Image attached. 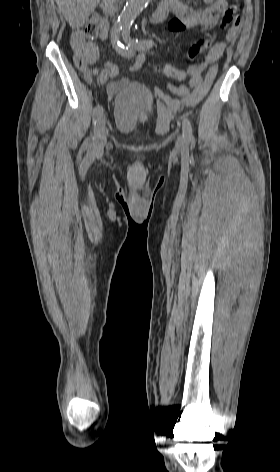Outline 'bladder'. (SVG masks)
Returning a JSON list of instances; mask_svg holds the SVG:
<instances>
[{
	"label": "bladder",
	"mask_w": 280,
	"mask_h": 472,
	"mask_svg": "<svg viewBox=\"0 0 280 472\" xmlns=\"http://www.w3.org/2000/svg\"><path fill=\"white\" fill-rule=\"evenodd\" d=\"M155 108L156 102L149 88L141 83H129L115 98L114 125L123 133H131L153 115Z\"/></svg>",
	"instance_id": "1"
}]
</instances>
